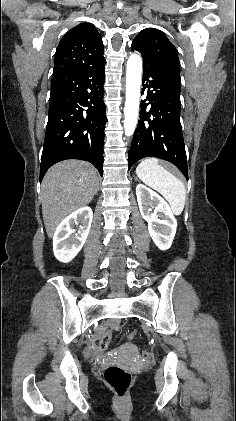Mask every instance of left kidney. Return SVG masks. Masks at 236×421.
<instances>
[{"instance_id":"obj_1","label":"left kidney","mask_w":236,"mask_h":421,"mask_svg":"<svg viewBox=\"0 0 236 421\" xmlns=\"http://www.w3.org/2000/svg\"><path fill=\"white\" fill-rule=\"evenodd\" d=\"M136 194L139 211L148 223V231L152 241L158 249L167 251L172 245L177 227V221L169 204L160 194H157L145 184H137ZM152 208H154V211H152Z\"/></svg>"}]
</instances>
